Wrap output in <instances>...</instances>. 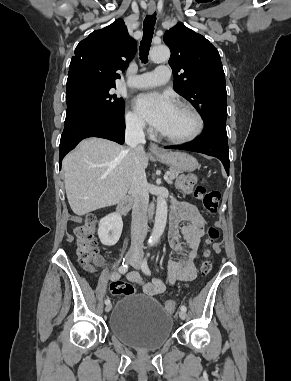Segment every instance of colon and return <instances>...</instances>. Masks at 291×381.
Listing matches in <instances>:
<instances>
[{"label": "colon", "instance_id": "5ec220e1", "mask_svg": "<svg viewBox=\"0 0 291 381\" xmlns=\"http://www.w3.org/2000/svg\"><path fill=\"white\" fill-rule=\"evenodd\" d=\"M177 187L185 194H190L196 199L202 201L205 211L209 215H215L219 205V193L215 190H207L205 187L197 184L193 177H186L178 181ZM97 221L94 217H90L85 223L80 224L74 228V235L76 237V255L80 264L88 271H93L97 266L102 264V257L98 253L96 242L94 239ZM220 233L217 227L209 226L206 232V245H213L219 239ZM205 260L201 263L200 273L206 276L211 268L212 263L209 260V249L204 250ZM110 291L113 295H134L135 288L125 282L116 281L110 284ZM165 311L173 314L177 310V304L173 300L165 302Z\"/></svg>", "mask_w": 291, "mask_h": 381}]
</instances>
